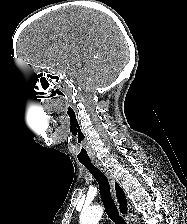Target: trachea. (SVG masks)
I'll use <instances>...</instances> for the list:
<instances>
[{"label":"trachea","mask_w":187,"mask_h":224,"mask_svg":"<svg viewBox=\"0 0 187 224\" xmlns=\"http://www.w3.org/2000/svg\"><path fill=\"white\" fill-rule=\"evenodd\" d=\"M86 169L93 175L99 184V190L102 202L105 206L108 217L115 222V224H126L124 219L119 215L117 207L112 199L110 192V185L107 177L100 171L92 162H81Z\"/></svg>","instance_id":"trachea-1"}]
</instances>
